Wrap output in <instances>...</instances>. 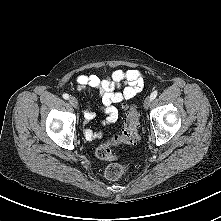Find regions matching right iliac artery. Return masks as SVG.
Instances as JSON below:
<instances>
[{
  "mask_svg": "<svg viewBox=\"0 0 221 221\" xmlns=\"http://www.w3.org/2000/svg\"><path fill=\"white\" fill-rule=\"evenodd\" d=\"M62 96H63V98L66 99V100L69 99V95H68L67 93H64Z\"/></svg>",
  "mask_w": 221,
  "mask_h": 221,
  "instance_id": "1",
  "label": "right iliac artery"
}]
</instances>
